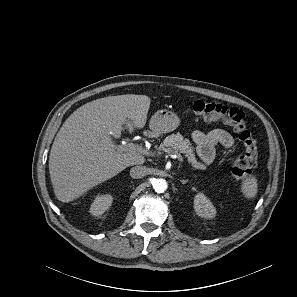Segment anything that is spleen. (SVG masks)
Here are the masks:
<instances>
[{
    "mask_svg": "<svg viewBox=\"0 0 297 297\" xmlns=\"http://www.w3.org/2000/svg\"><path fill=\"white\" fill-rule=\"evenodd\" d=\"M258 183L255 176H249L242 182L241 192L245 198H254L257 194Z\"/></svg>",
    "mask_w": 297,
    "mask_h": 297,
    "instance_id": "spleen-1",
    "label": "spleen"
}]
</instances>
